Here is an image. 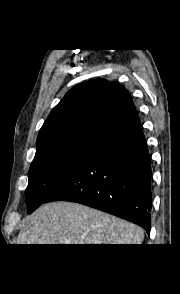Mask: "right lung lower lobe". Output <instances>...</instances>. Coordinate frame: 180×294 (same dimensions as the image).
<instances>
[{
  "label": "right lung lower lobe",
  "instance_id": "98d812e1",
  "mask_svg": "<svg viewBox=\"0 0 180 294\" xmlns=\"http://www.w3.org/2000/svg\"><path fill=\"white\" fill-rule=\"evenodd\" d=\"M58 200L105 211L150 233L151 165L136 111L98 142L46 202Z\"/></svg>",
  "mask_w": 180,
  "mask_h": 294
}]
</instances>
